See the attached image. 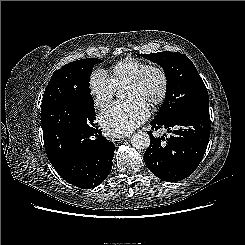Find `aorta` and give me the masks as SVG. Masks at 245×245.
Returning <instances> with one entry per match:
<instances>
[{"mask_svg":"<svg viewBox=\"0 0 245 245\" xmlns=\"http://www.w3.org/2000/svg\"><path fill=\"white\" fill-rule=\"evenodd\" d=\"M131 144L136 149H147L150 145V137L145 132H137L132 135Z\"/></svg>","mask_w":245,"mask_h":245,"instance_id":"762f6f07","label":"aorta"}]
</instances>
